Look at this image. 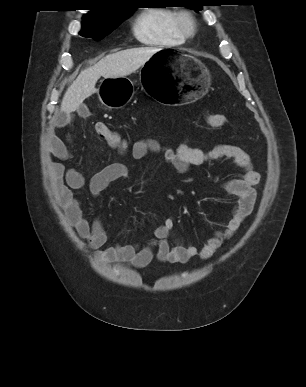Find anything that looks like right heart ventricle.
<instances>
[{"mask_svg": "<svg viewBox=\"0 0 306 387\" xmlns=\"http://www.w3.org/2000/svg\"><path fill=\"white\" fill-rule=\"evenodd\" d=\"M177 15L178 11L167 7L145 9L133 21V35L147 46L170 48L182 45L186 37L177 26Z\"/></svg>", "mask_w": 306, "mask_h": 387, "instance_id": "obj_1", "label": "right heart ventricle"}]
</instances>
